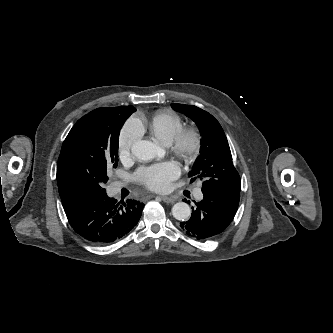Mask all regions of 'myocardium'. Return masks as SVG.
Returning a JSON list of instances; mask_svg holds the SVG:
<instances>
[{"instance_id":"1","label":"myocardium","mask_w":333,"mask_h":333,"mask_svg":"<svg viewBox=\"0 0 333 333\" xmlns=\"http://www.w3.org/2000/svg\"><path fill=\"white\" fill-rule=\"evenodd\" d=\"M203 144L201 131L194 126H183L175 135L171 148L176 156L191 163L199 156Z\"/></svg>"}]
</instances>
